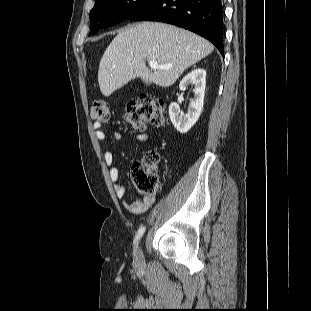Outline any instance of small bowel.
Instances as JSON below:
<instances>
[{
  "label": "small bowel",
  "mask_w": 311,
  "mask_h": 311,
  "mask_svg": "<svg viewBox=\"0 0 311 311\" xmlns=\"http://www.w3.org/2000/svg\"><path fill=\"white\" fill-rule=\"evenodd\" d=\"M94 135L98 141H104L106 135L102 130V125L99 122H94L93 125ZM114 139L120 141L122 139V134L120 132L114 133ZM135 139L139 143H145L148 140V135L146 133H137ZM103 159L106 167L108 168L109 178L114 184L115 194L118 198L122 199L125 195V188L119 182V170L117 166L114 165V157L111 151L106 150L103 153ZM155 199L153 196H144L143 198H137L131 203L123 202L124 207L132 214L141 215L145 213L154 203Z\"/></svg>",
  "instance_id": "small-bowel-1"
}]
</instances>
